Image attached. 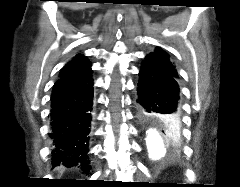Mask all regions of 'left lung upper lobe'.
<instances>
[{"mask_svg":"<svg viewBox=\"0 0 240 187\" xmlns=\"http://www.w3.org/2000/svg\"><path fill=\"white\" fill-rule=\"evenodd\" d=\"M148 55L154 56L161 63H163L170 70V72H172L176 77H178L175 66L170 61L169 56L162 48L156 47V50L154 52H151ZM153 123L164 133L167 139H170L171 141H175V140L179 141L180 127H178L176 131L171 132L162 121L154 120Z\"/></svg>","mask_w":240,"mask_h":187,"instance_id":"1","label":"left lung upper lobe"}]
</instances>
